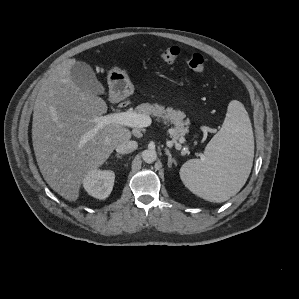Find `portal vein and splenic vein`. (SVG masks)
<instances>
[{
  "mask_svg": "<svg viewBox=\"0 0 299 299\" xmlns=\"http://www.w3.org/2000/svg\"><path fill=\"white\" fill-rule=\"evenodd\" d=\"M110 124H117L128 127L143 128L151 124V118L148 116L140 115L134 112H119L111 113L96 119V126L93 130L88 132L79 142V147H82L100 128ZM205 130L208 128L205 127Z\"/></svg>",
  "mask_w": 299,
  "mask_h": 299,
  "instance_id": "18ae733b",
  "label": "portal vein and splenic vein"
}]
</instances>
